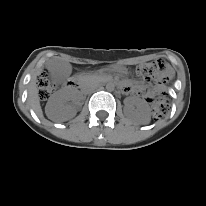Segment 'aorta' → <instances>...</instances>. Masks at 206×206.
Instances as JSON below:
<instances>
[{"label":"aorta","instance_id":"obj_1","mask_svg":"<svg viewBox=\"0 0 206 206\" xmlns=\"http://www.w3.org/2000/svg\"><path fill=\"white\" fill-rule=\"evenodd\" d=\"M114 89H115V85H114L113 82H108V83L106 84V90H107V91H114Z\"/></svg>","mask_w":206,"mask_h":206}]
</instances>
